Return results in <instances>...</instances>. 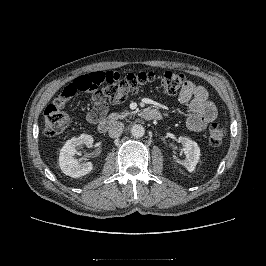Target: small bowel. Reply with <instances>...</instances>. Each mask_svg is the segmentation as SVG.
<instances>
[{
  "label": "small bowel",
  "instance_id": "c3829d8e",
  "mask_svg": "<svg viewBox=\"0 0 266 266\" xmlns=\"http://www.w3.org/2000/svg\"><path fill=\"white\" fill-rule=\"evenodd\" d=\"M178 99L180 103L187 105L192 112L187 120V125L192 131L199 132L204 130L217 117V108L213 102L208 100V92L201 85L186 81L179 93ZM92 101L94 103L92 110H98L103 114L108 109L106 102L100 94L94 93ZM89 121L91 122L90 119Z\"/></svg>",
  "mask_w": 266,
  "mask_h": 266
}]
</instances>
